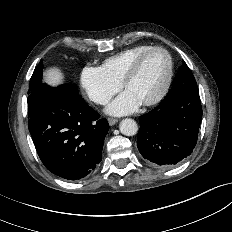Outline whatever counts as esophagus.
I'll list each match as a JSON object with an SVG mask.
<instances>
[{
  "instance_id": "34e87169",
  "label": "esophagus",
  "mask_w": 232,
  "mask_h": 232,
  "mask_svg": "<svg viewBox=\"0 0 232 232\" xmlns=\"http://www.w3.org/2000/svg\"><path fill=\"white\" fill-rule=\"evenodd\" d=\"M109 125L113 126L118 122L116 118H108Z\"/></svg>"
}]
</instances>
